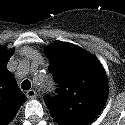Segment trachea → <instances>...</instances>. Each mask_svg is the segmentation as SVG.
Returning <instances> with one entry per match:
<instances>
[{"instance_id": "3493384b", "label": "trachea", "mask_w": 125, "mask_h": 125, "mask_svg": "<svg viewBox=\"0 0 125 125\" xmlns=\"http://www.w3.org/2000/svg\"><path fill=\"white\" fill-rule=\"evenodd\" d=\"M21 88L23 90H29L31 88V82L29 80H24L22 83H21Z\"/></svg>"}]
</instances>
